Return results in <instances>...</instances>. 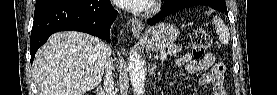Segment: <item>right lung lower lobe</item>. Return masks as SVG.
<instances>
[{"mask_svg": "<svg viewBox=\"0 0 277 95\" xmlns=\"http://www.w3.org/2000/svg\"><path fill=\"white\" fill-rule=\"evenodd\" d=\"M117 11L110 0H37L30 38L31 63L49 36L59 31H81L110 41Z\"/></svg>", "mask_w": 277, "mask_h": 95, "instance_id": "right-lung-lower-lobe-1", "label": "right lung lower lobe"}]
</instances>
